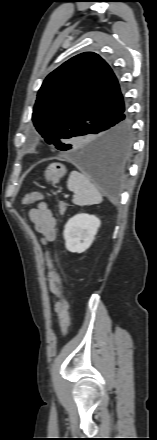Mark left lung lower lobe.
I'll return each mask as SVG.
<instances>
[{"instance_id": "1", "label": "left lung lower lobe", "mask_w": 157, "mask_h": 440, "mask_svg": "<svg viewBox=\"0 0 157 440\" xmlns=\"http://www.w3.org/2000/svg\"><path fill=\"white\" fill-rule=\"evenodd\" d=\"M98 137L89 145H71L74 162L107 192H114L123 176L131 151L133 135L130 115L123 105L95 130Z\"/></svg>"}]
</instances>
